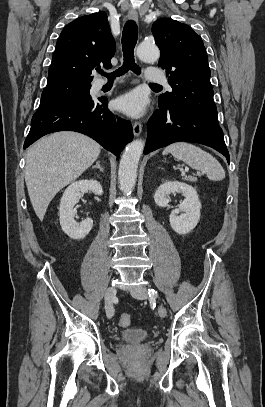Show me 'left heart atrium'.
Wrapping results in <instances>:
<instances>
[{"label":"left heart atrium","mask_w":265,"mask_h":407,"mask_svg":"<svg viewBox=\"0 0 265 407\" xmlns=\"http://www.w3.org/2000/svg\"><path fill=\"white\" fill-rule=\"evenodd\" d=\"M115 107L130 117H140L146 110V97L139 91H132L119 97Z\"/></svg>","instance_id":"obj_1"}]
</instances>
